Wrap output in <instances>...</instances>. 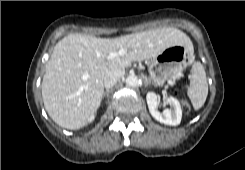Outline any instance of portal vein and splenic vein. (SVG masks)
Wrapping results in <instances>:
<instances>
[{
    "instance_id": "1",
    "label": "portal vein and splenic vein",
    "mask_w": 245,
    "mask_h": 170,
    "mask_svg": "<svg viewBox=\"0 0 245 170\" xmlns=\"http://www.w3.org/2000/svg\"><path fill=\"white\" fill-rule=\"evenodd\" d=\"M125 53H126V50H125V49H120V50L117 51V52H111V53L108 55V59H114V58L123 56V55H125Z\"/></svg>"
}]
</instances>
